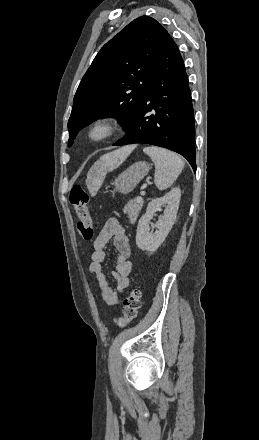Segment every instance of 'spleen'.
Wrapping results in <instances>:
<instances>
[{
	"label": "spleen",
	"mask_w": 259,
	"mask_h": 440,
	"mask_svg": "<svg viewBox=\"0 0 259 440\" xmlns=\"http://www.w3.org/2000/svg\"><path fill=\"white\" fill-rule=\"evenodd\" d=\"M155 164V185L159 190L169 188L184 168L182 158L163 148L145 147L143 149Z\"/></svg>",
	"instance_id": "1"
}]
</instances>
